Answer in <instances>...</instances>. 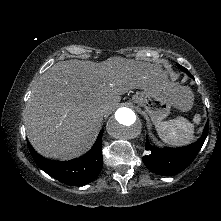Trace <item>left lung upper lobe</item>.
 <instances>
[{"label":"left lung upper lobe","mask_w":221,"mask_h":221,"mask_svg":"<svg viewBox=\"0 0 221 221\" xmlns=\"http://www.w3.org/2000/svg\"><path fill=\"white\" fill-rule=\"evenodd\" d=\"M180 69H183V67L181 65H178Z\"/></svg>","instance_id":"1"}]
</instances>
